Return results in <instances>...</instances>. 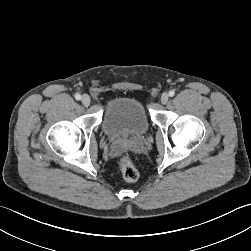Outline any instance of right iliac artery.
Returning a JSON list of instances; mask_svg holds the SVG:
<instances>
[{
    "mask_svg": "<svg viewBox=\"0 0 251 251\" xmlns=\"http://www.w3.org/2000/svg\"><path fill=\"white\" fill-rule=\"evenodd\" d=\"M75 99H76V100H80V99H81V95H80V94H76V95H75Z\"/></svg>",
    "mask_w": 251,
    "mask_h": 251,
    "instance_id": "82829eb1",
    "label": "right iliac artery"
}]
</instances>
